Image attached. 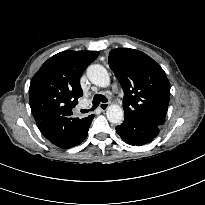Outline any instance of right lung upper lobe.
<instances>
[{
    "instance_id": "obj_1",
    "label": "right lung upper lobe",
    "mask_w": 205,
    "mask_h": 205,
    "mask_svg": "<svg viewBox=\"0 0 205 205\" xmlns=\"http://www.w3.org/2000/svg\"><path fill=\"white\" fill-rule=\"evenodd\" d=\"M99 55L95 51L66 50L49 58L37 71L29 87L30 107L36 122L50 116L70 117L83 95L79 80L83 71ZM84 119L71 118L68 134L73 135Z\"/></svg>"
}]
</instances>
